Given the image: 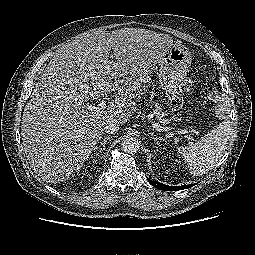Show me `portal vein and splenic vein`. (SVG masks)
<instances>
[{"label": "portal vein and splenic vein", "instance_id": "1", "mask_svg": "<svg viewBox=\"0 0 255 255\" xmlns=\"http://www.w3.org/2000/svg\"><path fill=\"white\" fill-rule=\"evenodd\" d=\"M105 108H106V101L105 100L100 101L97 107L96 106H92V105L87 106V109L89 111L93 112V113L100 112L101 110H104ZM152 125H153L154 128H156L159 131H170V130H172L171 127H160L156 123H153ZM181 133L184 134V133H186V131L182 130Z\"/></svg>", "mask_w": 255, "mask_h": 255}]
</instances>
